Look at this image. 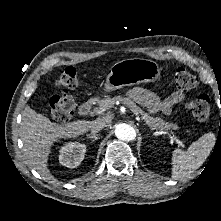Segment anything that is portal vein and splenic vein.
<instances>
[{
	"label": "portal vein and splenic vein",
	"mask_w": 221,
	"mask_h": 221,
	"mask_svg": "<svg viewBox=\"0 0 221 221\" xmlns=\"http://www.w3.org/2000/svg\"><path fill=\"white\" fill-rule=\"evenodd\" d=\"M106 109H107V108H102L101 110H98V111H97V114H102ZM137 119L140 120L139 117H137ZM153 130H155V129H153ZM157 133H158V134L168 135L169 138H170L172 141H174L179 147H185V144H184L182 141H180V140L177 139L176 137H174V136L168 134L166 131H159V132H157Z\"/></svg>",
	"instance_id": "1"
}]
</instances>
